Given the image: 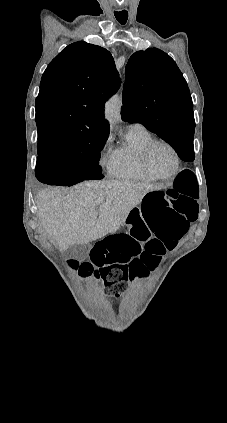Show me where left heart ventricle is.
I'll list each match as a JSON object with an SVG mask.
<instances>
[{
  "mask_svg": "<svg viewBox=\"0 0 227 423\" xmlns=\"http://www.w3.org/2000/svg\"><path fill=\"white\" fill-rule=\"evenodd\" d=\"M149 164L156 174L161 176L168 175L174 168L173 154L165 146L156 145L150 151Z\"/></svg>",
  "mask_w": 227,
  "mask_h": 423,
  "instance_id": "left-heart-ventricle-1",
  "label": "left heart ventricle"
}]
</instances>
